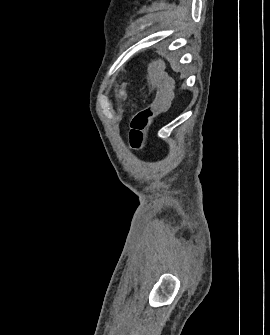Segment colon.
<instances>
[{
	"label": "colon",
	"mask_w": 270,
	"mask_h": 335,
	"mask_svg": "<svg viewBox=\"0 0 270 335\" xmlns=\"http://www.w3.org/2000/svg\"><path fill=\"white\" fill-rule=\"evenodd\" d=\"M148 70V80L152 83V89H160V97L154 102L153 107L139 109L132 117L130 124L129 142L134 149H141L145 142L144 130L151 123L154 116V109H157V116H166V109H174L175 94L173 89L172 72H163L165 62H161V57H150V61L145 63Z\"/></svg>",
	"instance_id": "colon-1"
}]
</instances>
